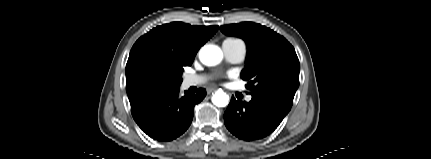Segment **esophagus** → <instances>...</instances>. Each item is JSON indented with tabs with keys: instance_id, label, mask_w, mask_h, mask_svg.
<instances>
[{
	"instance_id": "1",
	"label": "esophagus",
	"mask_w": 431,
	"mask_h": 159,
	"mask_svg": "<svg viewBox=\"0 0 431 159\" xmlns=\"http://www.w3.org/2000/svg\"><path fill=\"white\" fill-rule=\"evenodd\" d=\"M214 91H215L214 88H210V89L207 90V93L210 94V93H213Z\"/></svg>"
}]
</instances>
